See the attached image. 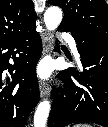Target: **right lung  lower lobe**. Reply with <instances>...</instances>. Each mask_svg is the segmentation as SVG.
<instances>
[{
    "label": "right lung lower lobe",
    "instance_id": "right-lung-lower-lobe-1",
    "mask_svg": "<svg viewBox=\"0 0 108 127\" xmlns=\"http://www.w3.org/2000/svg\"><path fill=\"white\" fill-rule=\"evenodd\" d=\"M41 53L42 41L36 28L22 36L0 40L1 127H24L29 113L39 102L35 67ZM10 58L14 65L8 64ZM7 69L11 78L3 76Z\"/></svg>",
    "mask_w": 108,
    "mask_h": 127
}]
</instances>
